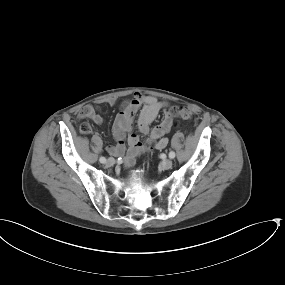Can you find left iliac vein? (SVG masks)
<instances>
[{
	"mask_svg": "<svg viewBox=\"0 0 285 285\" xmlns=\"http://www.w3.org/2000/svg\"><path fill=\"white\" fill-rule=\"evenodd\" d=\"M172 165H173V162H172L171 159H165L161 163V168L163 170H168V169H170L172 167Z\"/></svg>",
	"mask_w": 285,
	"mask_h": 285,
	"instance_id": "4c4485c4",
	"label": "left iliac vein"
}]
</instances>
